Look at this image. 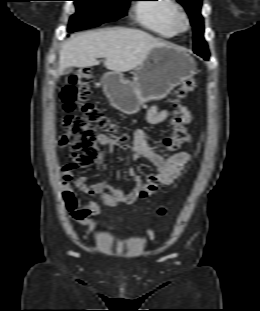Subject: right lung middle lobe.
Instances as JSON below:
<instances>
[{
  "label": "right lung middle lobe",
  "instance_id": "1",
  "mask_svg": "<svg viewBox=\"0 0 260 311\" xmlns=\"http://www.w3.org/2000/svg\"><path fill=\"white\" fill-rule=\"evenodd\" d=\"M76 13L71 17L68 32L99 26L126 15L132 0H73Z\"/></svg>",
  "mask_w": 260,
  "mask_h": 311
}]
</instances>
